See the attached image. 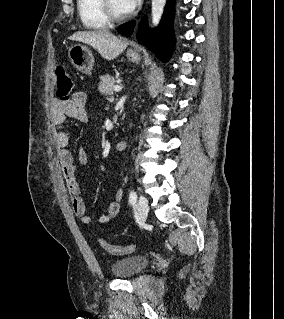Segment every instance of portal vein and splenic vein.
<instances>
[{"mask_svg": "<svg viewBox=\"0 0 284 319\" xmlns=\"http://www.w3.org/2000/svg\"><path fill=\"white\" fill-rule=\"evenodd\" d=\"M122 90V87L121 86H115L114 87V91H116V92H119V91H121Z\"/></svg>", "mask_w": 284, "mask_h": 319, "instance_id": "1", "label": "portal vein and splenic vein"}]
</instances>
